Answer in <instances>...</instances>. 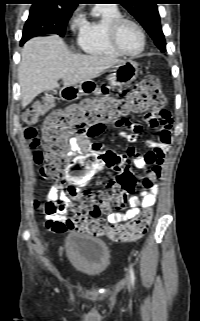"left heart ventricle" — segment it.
<instances>
[{"label": "left heart ventricle", "instance_id": "left-heart-ventricle-1", "mask_svg": "<svg viewBox=\"0 0 200 321\" xmlns=\"http://www.w3.org/2000/svg\"><path fill=\"white\" fill-rule=\"evenodd\" d=\"M118 41L127 52L134 53L140 50L142 38L139 31L129 23H125L119 30Z\"/></svg>", "mask_w": 200, "mask_h": 321}]
</instances>
